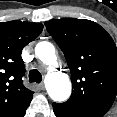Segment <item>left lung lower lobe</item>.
Listing matches in <instances>:
<instances>
[{
  "mask_svg": "<svg viewBox=\"0 0 117 117\" xmlns=\"http://www.w3.org/2000/svg\"><path fill=\"white\" fill-rule=\"evenodd\" d=\"M56 117H95L63 107L60 104H52Z\"/></svg>",
  "mask_w": 117,
  "mask_h": 117,
  "instance_id": "left-lung-lower-lobe-1",
  "label": "left lung lower lobe"
}]
</instances>
